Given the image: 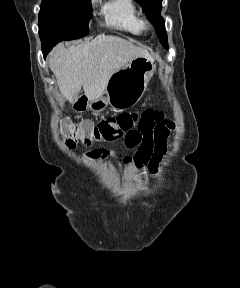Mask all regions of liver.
I'll return each mask as SVG.
<instances>
[{
	"mask_svg": "<svg viewBox=\"0 0 240 288\" xmlns=\"http://www.w3.org/2000/svg\"><path fill=\"white\" fill-rule=\"evenodd\" d=\"M135 57L153 60L147 50L121 37L101 35L69 48L58 44L48 64L62 95L74 103L81 87L89 101L102 97L110 77Z\"/></svg>",
	"mask_w": 240,
	"mask_h": 288,
	"instance_id": "6515ba94",
	"label": "liver"
}]
</instances>
